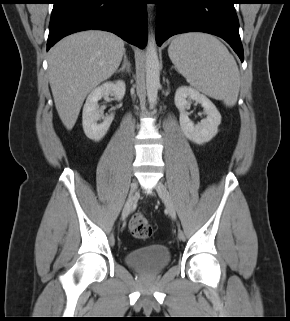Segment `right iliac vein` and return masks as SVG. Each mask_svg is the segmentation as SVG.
<instances>
[{
	"label": "right iliac vein",
	"instance_id": "obj_1",
	"mask_svg": "<svg viewBox=\"0 0 290 321\" xmlns=\"http://www.w3.org/2000/svg\"><path fill=\"white\" fill-rule=\"evenodd\" d=\"M137 188H138V182L134 181L131 185L130 193L128 195L127 201H126L123 211H122V218L123 219H125L128 216V214L130 213V211L133 208V205L135 204V202L138 199Z\"/></svg>",
	"mask_w": 290,
	"mask_h": 321
}]
</instances>
